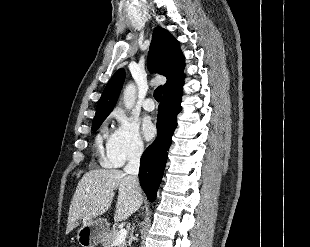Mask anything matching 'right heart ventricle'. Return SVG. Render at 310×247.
Returning a JSON list of instances; mask_svg holds the SVG:
<instances>
[{"instance_id":"e07e8e85","label":"right heart ventricle","mask_w":310,"mask_h":247,"mask_svg":"<svg viewBox=\"0 0 310 247\" xmlns=\"http://www.w3.org/2000/svg\"><path fill=\"white\" fill-rule=\"evenodd\" d=\"M96 147L101 150L102 149V135H98L96 137Z\"/></svg>"}]
</instances>
